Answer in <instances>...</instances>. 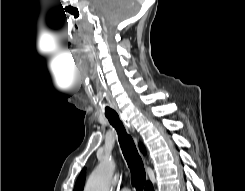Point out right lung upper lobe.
I'll list each match as a JSON object with an SVG mask.
<instances>
[{"label": "right lung upper lobe", "mask_w": 245, "mask_h": 191, "mask_svg": "<svg viewBox=\"0 0 245 191\" xmlns=\"http://www.w3.org/2000/svg\"><path fill=\"white\" fill-rule=\"evenodd\" d=\"M140 150L142 151V153H146L145 148L142 144L139 145ZM84 182H85V168L81 171L80 176L78 177L76 184H75V188L74 191H82L83 186H84Z\"/></svg>", "instance_id": "1"}]
</instances>
